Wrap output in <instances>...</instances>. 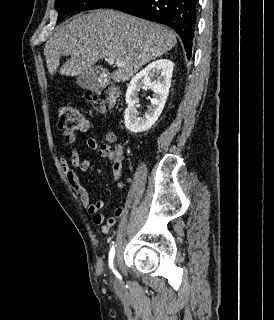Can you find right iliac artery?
<instances>
[{
  "mask_svg": "<svg viewBox=\"0 0 274 320\" xmlns=\"http://www.w3.org/2000/svg\"><path fill=\"white\" fill-rule=\"evenodd\" d=\"M114 256H115V246L113 245L110 249V252H109V266L110 268L113 270V262H114Z\"/></svg>",
  "mask_w": 274,
  "mask_h": 320,
  "instance_id": "1",
  "label": "right iliac artery"
}]
</instances>
